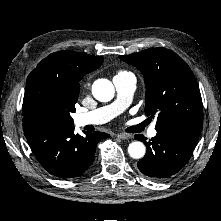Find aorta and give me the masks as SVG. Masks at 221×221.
<instances>
[{"mask_svg": "<svg viewBox=\"0 0 221 221\" xmlns=\"http://www.w3.org/2000/svg\"><path fill=\"white\" fill-rule=\"evenodd\" d=\"M114 86L107 79H98L92 85V94L100 102H108L114 97ZM145 145L140 141L129 144L128 153L134 159H140L145 155Z\"/></svg>", "mask_w": 221, "mask_h": 221, "instance_id": "762f6f07", "label": "aorta"}]
</instances>
